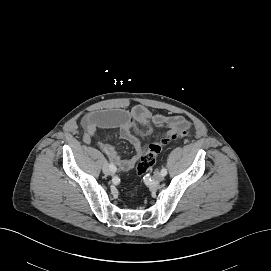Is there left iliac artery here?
Listing matches in <instances>:
<instances>
[{
	"label": "left iliac artery",
	"instance_id": "obj_1",
	"mask_svg": "<svg viewBox=\"0 0 271 271\" xmlns=\"http://www.w3.org/2000/svg\"><path fill=\"white\" fill-rule=\"evenodd\" d=\"M161 173L163 176L167 175V169L166 168H162Z\"/></svg>",
	"mask_w": 271,
	"mask_h": 271
}]
</instances>
